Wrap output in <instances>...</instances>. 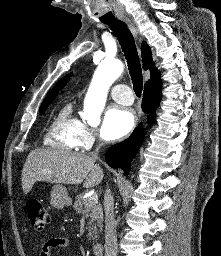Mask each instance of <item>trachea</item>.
<instances>
[{"mask_svg": "<svg viewBox=\"0 0 221 256\" xmlns=\"http://www.w3.org/2000/svg\"><path fill=\"white\" fill-rule=\"evenodd\" d=\"M107 25L115 33L117 39L119 40L127 60L134 92L137 97H140L143 89V76L133 35L122 21H111L108 22Z\"/></svg>", "mask_w": 221, "mask_h": 256, "instance_id": "3493384b", "label": "trachea"}]
</instances>
